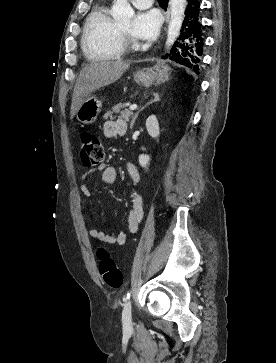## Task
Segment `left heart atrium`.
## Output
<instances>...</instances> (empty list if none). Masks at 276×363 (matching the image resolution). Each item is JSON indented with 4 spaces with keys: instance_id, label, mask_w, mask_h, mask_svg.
Listing matches in <instances>:
<instances>
[{
    "instance_id": "obj_1",
    "label": "left heart atrium",
    "mask_w": 276,
    "mask_h": 363,
    "mask_svg": "<svg viewBox=\"0 0 276 363\" xmlns=\"http://www.w3.org/2000/svg\"><path fill=\"white\" fill-rule=\"evenodd\" d=\"M161 17L155 10L138 12L130 28L133 38L140 41H152L159 33Z\"/></svg>"
}]
</instances>
